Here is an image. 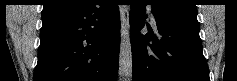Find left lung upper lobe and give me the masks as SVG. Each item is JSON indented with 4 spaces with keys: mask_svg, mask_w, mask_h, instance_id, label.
I'll list each match as a JSON object with an SVG mask.
<instances>
[{
    "mask_svg": "<svg viewBox=\"0 0 237 81\" xmlns=\"http://www.w3.org/2000/svg\"><path fill=\"white\" fill-rule=\"evenodd\" d=\"M151 2L162 12L197 16L194 0H151Z\"/></svg>",
    "mask_w": 237,
    "mask_h": 81,
    "instance_id": "5c2ea615",
    "label": "left lung upper lobe"
}]
</instances>
